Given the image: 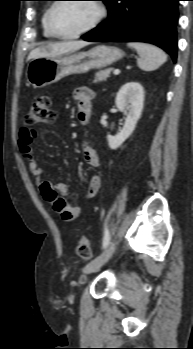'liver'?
I'll list each match as a JSON object with an SVG mask.
<instances>
[{"instance_id": "liver-1", "label": "liver", "mask_w": 193, "mask_h": 349, "mask_svg": "<svg viewBox=\"0 0 193 349\" xmlns=\"http://www.w3.org/2000/svg\"><path fill=\"white\" fill-rule=\"evenodd\" d=\"M88 44L89 43L85 41H64L58 43H47L33 49L28 56V60L41 57H60L78 51L79 49L87 46Z\"/></svg>"}]
</instances>
